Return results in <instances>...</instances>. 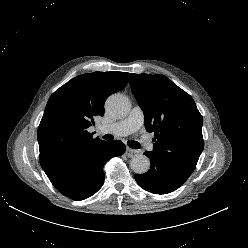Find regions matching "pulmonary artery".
<instances>
[{
	"instance_id": "obj_1",
	"label": "pulmonary artery",
	"mask_w": 248,
	"mask_h": 248,
	"mask_svg": "<svg viewBox=\"0 0 248 248\" xmlns=\"http://www.w3.org/2000/svg\"><path fill=\"white\" fill-rule=\"evenodd\" d=\"M144 123V113L139 106L133 107L127 118L111 125H99L100 133H113L118 136H126L139 130ZM151 148V145L148 146Z\"/></svg>"
}]
</instances>
